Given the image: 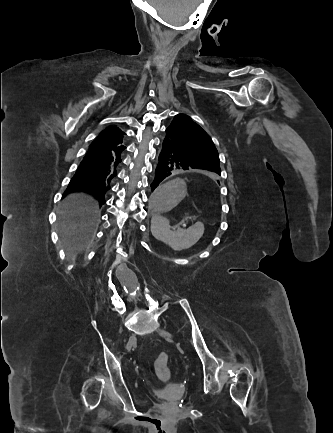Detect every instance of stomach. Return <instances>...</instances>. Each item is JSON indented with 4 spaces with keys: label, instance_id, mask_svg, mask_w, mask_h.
Wrapping results in <instances>:
<instances>
[{
    "label": "stomach",
    "instance_id": "0dacf381",
    "mask_svg": "<svg viewBox=\"0 0 333 433\" xmlns=\"http://www.w3.org/2000/svg\"><path fill=\"white\" fill-rule=\"evenodd\" d=\"M185 196L186 184L183 180L172 178L170 183H159L154 190L153 200L148 201V212L150 215H170Z\"/></svg>",
    "mask_w": 333,
    "mask_h": 433
}]
</instances>
